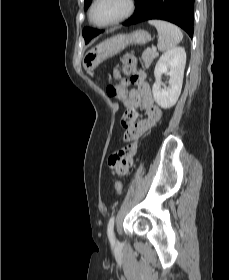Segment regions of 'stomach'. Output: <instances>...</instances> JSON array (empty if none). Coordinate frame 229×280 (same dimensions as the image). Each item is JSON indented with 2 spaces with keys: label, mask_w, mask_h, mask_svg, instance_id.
<instances>
[{
  "label": "stomach",
  "mask_w": 229,
  "mask_h": 280,
  "mask_svg": "<svg viewBox=\"0 0 229 280\" xmlns=\"http://www.w3.org/2000/svg\"><path fill=\"white\" fill-rule=\"evenodd\" d=\"M151 39L145 30H136L129 34H119L107 39L95 48L89 50L82 60V65L87 73H93L94 69L104 60L115 56L129 45H143Z\"/></svg>",
  "instance_id": "obj_1"
}]
</instances>
